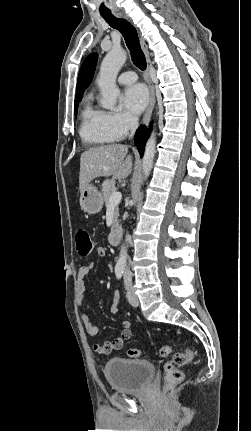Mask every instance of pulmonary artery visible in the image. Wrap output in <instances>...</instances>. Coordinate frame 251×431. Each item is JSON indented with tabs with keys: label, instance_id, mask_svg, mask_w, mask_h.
<instances>
[{
	"label": "pulmonary artery",
	"instance_id": "e3ab8cb5",
	"mask_svg": "<svg viewBox=\"0 0 251 431\" xmlns=\"http://www.w3.org/2000/svg\"><path fill=\"white\" fill-rule=\"evenodd\" d=\"M136 80H137V75L133 71L122 72L118 76V82L120 84H131V83H134Z\"/></svg>",
	"mask_w": 251,
	"mask_h": 431
}]
</instances>
